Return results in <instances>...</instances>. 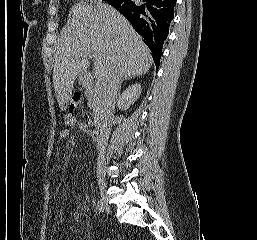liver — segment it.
Wrapping results in <instances>:
<instances>
[{"instance_id": "1", "label": "liver", "mask_w": 257, "mask_h": 240, "mask_svg": "<svg viewBox=\"0 0 257 240\" xmlns=\"http://www.w3.org/2000/svg\"><path fill=\"white\" fill-rule=\"evenodd\" d=\"M69 16L54 55L53 87L62 110L67 108L76 78L88 77L87 55H93L95 77L101 83L115 70L124 79L143 75L152 66L150 50L112 6L79 3Z\"/></svg>"}]
</instances>
